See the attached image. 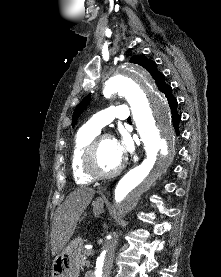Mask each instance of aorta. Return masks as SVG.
<instances>
[{
    "label": "aorta",
    "instance_id": "obj_1",
    "mask_svg": "<svg viewBox=\"0 0 221 277\" xmlns=\"http://www.w3.org/2000/svg\"><path fill=\"white\" fill-rule=\"evenodd\" d=\"M124 96L146 151L145 159L129 170L115 188V202L122 215L131 212L142 193L169 167L174 156L175 135L168 104L149 74L138 65H126L104 85V95ZM117 247V236H106L96 259L95 277H106Z\"/></svg>",
    "mask_w": 221,
    "mask_h": 277
}]
</instances>
